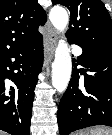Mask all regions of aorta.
Returning <instances> with one entry per match:
<instances>
[{"mask_svg": "<svg viewBox=\"0 0 112 135\" xmlns=\"http://www.w3.org/2000/svg\"><path fill=\"white\" fill-rule=\"evenodd\" d=\"M49 18L58 31L65 32L69 22L66 9L59 6L53 7L50 11ZM71 72L72 60L70 49L66 40H60L55 50V59L52 64V86L59 93H63L67 89Z\"/></svg>", "mask_w": 112, "mask_h": 135, "instance_id": "1", "label": "aorta"}]
</instances>
